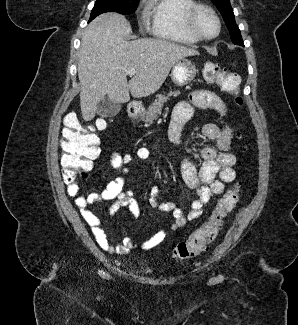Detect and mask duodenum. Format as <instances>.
I'll return each instance as SVG.
<instances>
[{
    "label": "duodenum",
    "instance_id": "duodenum-1",
    "mask_svg": "<svg viewBox=\"0 0 298 325\" xmlns=\"http://www.w3.org/2000/svg\"><path fill=\"white\" fill-rule=\"evenodd\" d=\"M139 112V107L136 104H131L129 107V113L131 116H136Z\"/></svg>",
    "mask_w": 298,
    "mask_h": 325
}]
</instances>
